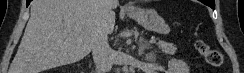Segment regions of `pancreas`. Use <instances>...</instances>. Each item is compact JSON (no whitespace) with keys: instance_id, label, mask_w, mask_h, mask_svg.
Instances as JSON below:
<instances>
[{"instance_id":"1","label":"pancreas","mask_w":244,"mask_h":73,"mask_svg":"<svg viewBox=\"0 0 244 73\" xmlns=\"http://www.w3.org/2000/svg\"><path fill=\"white\" fill-rule=\"evenodd\" d=\"M159 49L162 50L163 53L167 55H172L177 51V46L173 43H167L165 41H159L157 43Z\"/></svg>"}]
</instances>
